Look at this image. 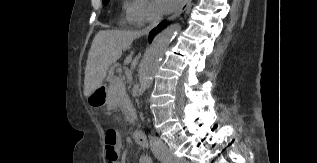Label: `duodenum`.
Wrapping results in <instances>:
<instances>
[{"instance_id": "410a0bca", "label": "duodenum", "mask_w": 317, "mask_h": 163, "mask_svg": "<svg viewBox=\"0 0 317 163\" xmlns=\"http://www.w3.org/2000/svg\"><path fill=\"white\" fill-rule=\"evenodd\" d=\"M133 139L138 145L142 147H145L147 145L145 134L140 130H136L133 133Z\"/></svg>"}]
</instances>
